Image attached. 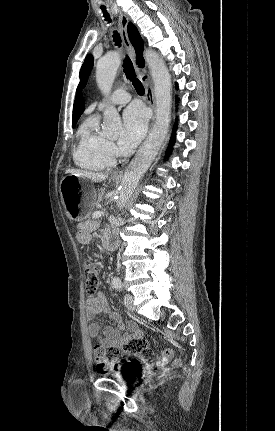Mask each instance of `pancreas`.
<instances>
[{
	"mask_svg": "<svg viewBox=\"0 0 275 431\" xmlns=\"http://www.w3.org/2000/svg\"><path fill=\"white\" fill-rule=\"evenodd\" d=\"M104 193L105 191L102 189L98 191V197L95 204H99L102 201Z\"/></svg>",
	"mask_w": 275,
	"mask_h": 431,
	"instance_id": "pancreas-1",
	"label": "pancreas"
}]
</instances>
